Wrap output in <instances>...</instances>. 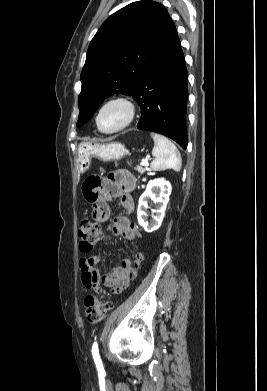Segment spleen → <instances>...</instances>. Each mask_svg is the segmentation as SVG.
Instances as JSON below:
<instances>
[{
  "mask_svg": "<svg viewBox=\"0 0 267 391\" xmlns=\"http://www.w3.org/2000/svg\"><path fill=\"white\" fill-rule=\"evenodd\" d=\"M151 137L154 140L152 155L155 158L151 162V170L173 169L180 171L182 168V159L176 146L163 135L152 132Z\"/></svg>",
  "mask_w": 267,
  "mask_h": 391,
  "instance_id": "1",
  "label": "spleen"
}]
</instances>
